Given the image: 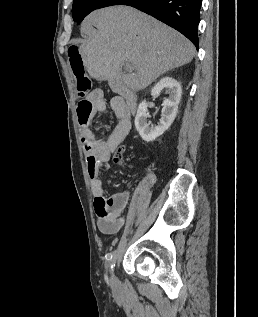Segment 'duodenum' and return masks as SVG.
Returning a JSON list of instances; mask_svg holds the SVG:
<instances>
[{
    "instance_id": "obj_1",
    "label": "duodenum",
    "mask_w": 258,
    "mask_h": 317,
    "mask_svg": "<svg viewBox=\"0 0 258 317\" xmlns=\"http://www.w3.org/2000/svg\"><path fill=\"white\" fill-rule=\"evenodd\" d=\"M131 107H132L133 110L136 109V102H135V101H133V102L131 103Z\"/></svg>"
}]
</instances>
